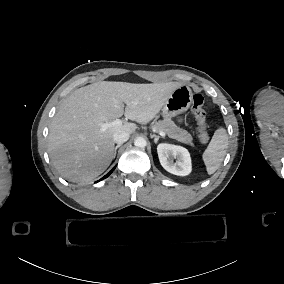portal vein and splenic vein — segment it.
Returning a JSON list of instances; mask_svg holds the SVG:
<instances>
[{
    "label": "portal vein and splenic vein",
    "instance_id": "1",
    "mask_svg": "<svg viewBox=\"0 0 284 284\" xmlns=\"http://www.w3.org/2000/svg\"><path fill=\"white\" fill-rule=\"evenodd\" d=\"M122 125V120L120 119H116L112 122H106V123H100L99 126H100V132H104L106 131L108 128H112V127H119ZM159 134L161 136H165V133L163 131H160Z\"/></svg>",
    "mask_w": 284,
    "mask_h": 284
}]
</instances>
